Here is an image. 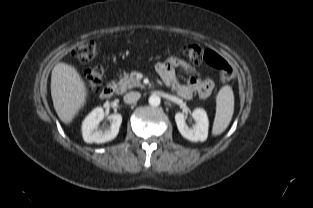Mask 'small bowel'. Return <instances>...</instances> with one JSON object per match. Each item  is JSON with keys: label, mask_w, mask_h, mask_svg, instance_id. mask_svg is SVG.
Returning a JSON list of instances; mask_svg holds the SVG:
<instances>
[{"label": "small bowel", "mask_w": 313, "mask_h": 208, "mask_svg": "<svg viewBox=\"0 0 313 208\" xmlns=\"http://www.w3.org/2000/svg\"><path fill=\"white\" fill-rule=\"evenodd\" d=\"M177 67H181L186 72L190 73V77L186 83H180L177 80L175 74V69ZM156 70L164 84L171 86L177 94L184 99H190L195 94H198L202 98H206L211 94L214 88V83L211 79L200 78L195 70L185 61L175 57H170L167 60L158 63Z\"/></svg>", "instance_id": "obj_1"}]
</instances>
